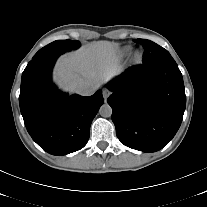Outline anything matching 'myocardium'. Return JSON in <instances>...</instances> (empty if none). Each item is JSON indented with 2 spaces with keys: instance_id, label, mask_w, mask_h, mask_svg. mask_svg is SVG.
<instances>
[{
  "instance_id": "myocardium-1",
  "label": "myocardium",
  "mask_w": 207,
  "mask_h": 207,
  "mask_svg": "<svg viewBox=\"0 0 207 207\" xmlns=\"http://www.w3.org/2000/svg\"><path fill=\"white\" fill-rule=\"evenodd\" d=\"M143 56L142 54L137 51L132 56V64L133 65H139L142 62Z\"/></svg>"
}]
</instances>
